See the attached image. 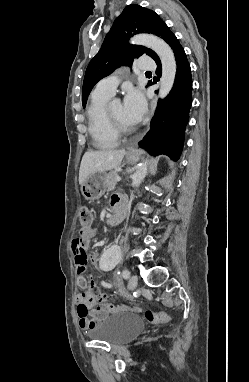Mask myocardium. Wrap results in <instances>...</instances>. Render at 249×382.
<instances>
[{"instance_id": "myocardium-1", "label": "myocardium", "mask_w": 249, "mask_h": 382, "mask_svg": "<svg viewBox=\"0 0 249 382\" xmlns=\"http://www.w3.org/2000/svg\"><path fill=\"white\" fill-rule=\"evenodd\" d=\"M106 119L108 121V124L111 128V130L119 137L122 135H127L132 133L135 129L134 128H126L122 126L119 122H117L111 112H110V105L106 106L105 109Z\"/></svg>"}]
</instances>
